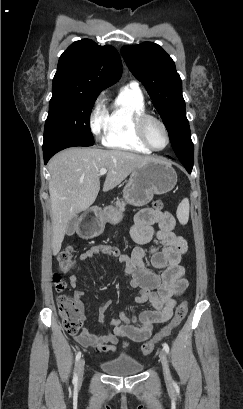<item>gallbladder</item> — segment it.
Here are the masks:
<instances>
[{
  "label": "gallbladder",
  "instance_id": "obj_1",
  "mask_svg": "<svg viewBox=\"0 0 243 409\" xmlns=\"http://www.w3.org/2000/svg\"><path fill=\"white\" fill-rule=\"evenodd\" d=\"M77 225H78V217L74 216L68 222V225L66 227V234L68 236H72L75 233L76 229H77Z\"/></svg>",
  "mask_w": 243,
  "mask_h": 409
}]
</instances>
